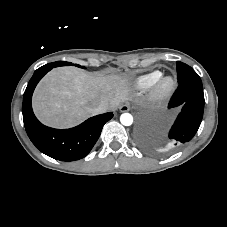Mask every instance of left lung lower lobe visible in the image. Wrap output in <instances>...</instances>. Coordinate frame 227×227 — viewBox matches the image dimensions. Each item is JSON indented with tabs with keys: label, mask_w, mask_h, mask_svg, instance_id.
I'll return each mask as SVG.
<instances>
[{
	"label": "left lung lower lobe",
	"mask_w": 227,
	"mask_h": 227,
	"mask_svg": "<svg viewBox=\"0 0 227 227\" xmlns=\"http://www.w3.org/2000/svg\"><path fill=\"white\" fill-rule=\"evenodd\" d=\"M180 105L182 110L169 132V139L174 147L189 142L200 126L204 110L203 87L191 83L179 84L168 107Z\"/></svg>",
	"instance_id": "1"
}]
</instances>
